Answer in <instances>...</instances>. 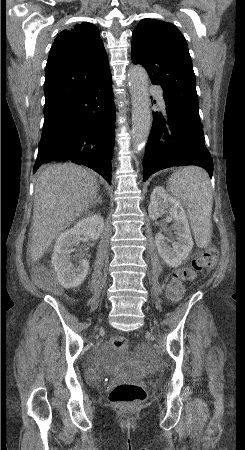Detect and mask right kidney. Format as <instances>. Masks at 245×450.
<instances>
[{"label":"right kidney","instance_id":"obj_1","mask_svg":"<svg viewBox=\"0 0 245 450\" xmlns=\"http://www.w3.org/2000/svg\"><path fill=\"white\" fill-rule=\"evenodd\" d=\"M104 228V220L99 214L83 218L73 228L61 233L54 245L51 263L57 273L58 281L64 288H76L83 283L88 271L89 262L80 258L72 263L71 252L79 244L81 236L95 241L99 239Z\"/></svg>","mask_w":245,"mask_h":450}]
</instances>
